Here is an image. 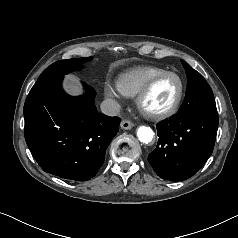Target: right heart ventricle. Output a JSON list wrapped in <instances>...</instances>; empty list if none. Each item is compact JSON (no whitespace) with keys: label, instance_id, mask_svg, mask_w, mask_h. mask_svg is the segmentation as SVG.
<instances>
[{"label":"right heart ventricle","instance_id":"1","mask_svg":"<svg viewBox=\"0 0 238 238\" xmlns=\"http://www.w3.org/2000/svg\"><path fill=\"white\" fill-rule=\"evenodd\" d=\"M166 70L156 66H139L129 69L118 76L117 84L127 97H136L148 81Z\"/></svg>","mask_w":238,"mask_h":238}]
</instances>
